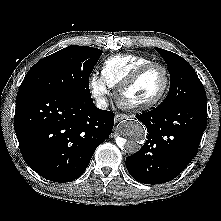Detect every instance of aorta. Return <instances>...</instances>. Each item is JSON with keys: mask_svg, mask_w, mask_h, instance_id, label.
Listing matches in <instances>:
<instances>
[{"mask_svg": "<svg viewBox=\"0 0 221 221\" xmlns=\"http://www.w3.org/2000/svg\"><path fill=\"white\" fill-rule=\"evenodd\" d=\"M121 136L116 138L117 145L129 154L139 151L146 138L144 125L136 120H125L120 126Z\"/></svg>", "mask_w": 221, "mask_h": 221, "instance_id": "obj_1", "label": "aorta"}]
</instances>
